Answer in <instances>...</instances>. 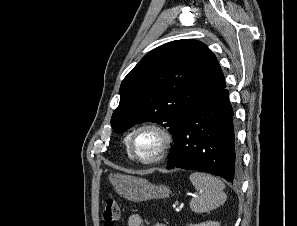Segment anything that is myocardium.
<instances>
[{
    "instance_id": "myocardium-1",
    "label": "myocardium",
    "mask_w": 297,
    "mask_h": 226,
    "mask_svg": "<svg viewBox=\"0 0 297 226\" xmlns=\"http://www.w3.org/2000/svg\"><path fill=\"white\" fill-rule=\"evenodd\" d=\"M146 130L155 132L160 138V144L152 156L144 158L138 155L134 147V142L137 135L142 131H146ZM172 143H173L172 133L162 124L158 122H153V121L143 122L135 126L132 129V131L129 133L127 138V147H128L129 153L131 154L132 158L135 161L143 165H153L162 161L166 157L169 149L172 146Z\"/></svg>"
}]
</instances>
